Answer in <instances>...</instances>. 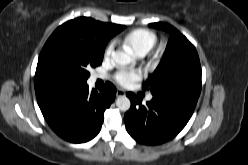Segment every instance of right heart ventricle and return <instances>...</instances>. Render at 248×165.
<instances>
[{"instance_id": "1", "label": "right heart ventricle", "mask_w": 248, "mask_h": 165, "mask_svg": "<svg viewBox=\"0 0 248 165\" xmlns=\"http://www.w3.org/2000/svg\"><path fill=\"white\" fill-rule=\"evenodd\" d=\"M122 41L133 52L141 55L153 48L157 42V35L152 30L139 28L125 35Z\"/></svg>"}]
</instances>
